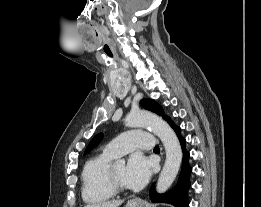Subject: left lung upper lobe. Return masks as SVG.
I'll use <instances>...</instances> for the list:
<instances>
[{"mask_svg": "<svg viewBox=\"0 0 261 207\" xmlns=\"http://www.w3.org/2000/svg\"><path fill=\"white\" fill-rule=\"evenodd\" d=\"M141 105L142 107H144L145 109L149 110V111H152L158 115H161L163 116V118L165 120H167V122H169L170 125H173L174 123L171 121V119L167 116L164 115V112H163V109L162 107L157 103L155 102L154 100H151V99H142L141 100ZM102 134H98L96 135L92 140L91 142L89 143L84 155H86L94 146H96L102 139Z\"/></svg>", "mask_w": 261, "mask_h": 207, "instance_id": "5c2ea615", "label": "left lung upper lobe"}]
</instances>
